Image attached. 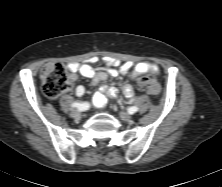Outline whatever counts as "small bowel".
Segmentation results:
<instances>
[{"instance_id":"small-bowel-1","label":"small bowel","mask_w":222,"mask_h":187,"mask_svg":"<svg viewBox=\"0 0 222 187\" xmlns=\"http://www.w3.org/2000/svg\"><path fill=\"white\" fill-rule=\"evenodd\" d=\"M98 61L97 57L89 59L88 63L78 64L70 63L68 65L69 70L72 73V78L75 79L77 74L91 79L93 84H99L106 81L108 76H118L120 74H130L131 79H137L140 75L145 73H159L160 68L158 65L141 61L133 63L131 61L121 62L118 59L106 57L103 59L107 65L106 68L96 70L91 64ZM86 92V89L82 85H78L75 88V95L82 96ZM121 92L126 99H132L134 97V90L131 84L126 83L122 86ZM120 91L114 86H102L98 92L93 96V104L97 107H104L107 104V98H115L119 95Z\"/></svg>"}]
</instances>
